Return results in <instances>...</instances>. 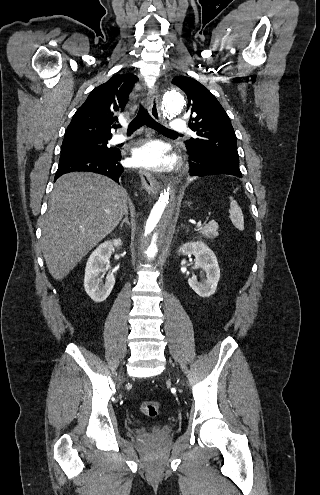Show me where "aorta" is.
<instances>
[{"instance_id":"aorta-1","label":"aorta","mask_w":320,"mask_h":495,"mask_svg":"<svg viewBox=\"0 0 320 495\" xmlns=\"http://www.w3.org/2000/svg\"><path fill=\"white\" fill-rule=\"evenodd\" d=\"M184 105V98L179 89H169L163 97V113L169 119L180 113ZM175 205L170 189L161 192L149 216L142 226V248L149 260H154L159 247L166 239L168 231L173 225Z\"/></svg>"}]
</instances>
